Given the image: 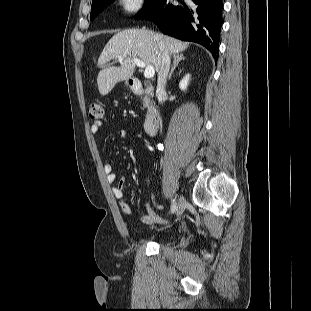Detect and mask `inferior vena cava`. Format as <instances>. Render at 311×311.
<instances>
[{
  "label": "inferior vena cava",
  "instance_id": "inferior-vena-cava-1",
  "mask_svg": "<svg viewBox=\"0 0 311 311\" xmlns=\"http://www.w3.org/2000/svg\"><path fill=\"white\" fill-rule=\"evenodd\" d=\"M158 44L161 50V63L160 69L158 71L156 96L159 102L162 103V98L166 94L165 87H166V78L170 69V57L162 41H160Z\"/></svg>",
  "mask_w": 311,
  "mask_h": 311
}]
</instances>
